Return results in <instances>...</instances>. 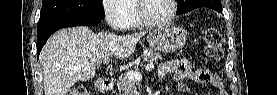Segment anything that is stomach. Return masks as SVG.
<instances>
[{"label":"stomach","mask_w":277,"mask_h":95,"mask_svg":"<svg viewBox=\"0 0 277 95\" xmlns=\"http://www.w3.org/2000/svg\"><path fill=\"white\" fill-rule=\"evenodd\" d=\"M186 39V31L175 26L153 30L147 37L151 48L165 53L176 52L185 44Z\"/></svg>","instance_id":"obj_1"}]
</instances>
